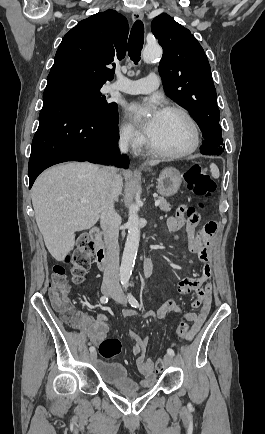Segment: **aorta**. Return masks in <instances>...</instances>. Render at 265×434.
<instances>
[{"label":"aorta","mask_w":265,"mask_h":434,"mask_svg":"<svg viewBox=\"0 0 265 434\" xmlns=\"http://www.w3.org/2000/svg\"><path fill=\"white\" fill-rule=\"evenodd\" d=\"M161 48L155 46H145L142 52V58L146 64L161 56ZM138 206L129 204L128 234L125 242V248L120 266V282H129L132 270L134 268L138 246L140 242V220L138 216Z\"/></svg>","instance_id":"obj_1"}]
</instances>
